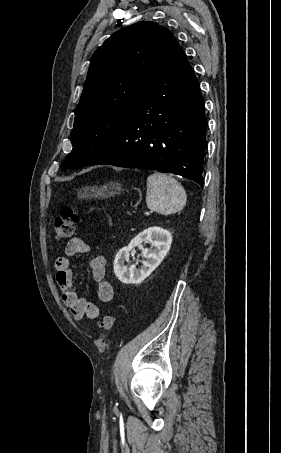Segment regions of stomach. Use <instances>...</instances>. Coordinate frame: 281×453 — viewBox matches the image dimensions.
I'll list each match as a JSON object with an SVG mask.
<instances>
[{
    "label": "stomach",
    "instance_id": "stomach-1",
    "mask_svg": "<svg viewBox=\"0 0 281 453\" xmlns=\"http://www.w3.org/2000/svg\"><path fill=\"white\" fill-rule=\"evenodd\" d=\"M102 190H108L107 194H118V190H120L119 182H109V184H105V186H83L81 188L79 194L80 198H92V196H100V194H106V192H102Z\"/></svg>",
    "mask_w": 281,
    "mask_h": 453
}]
</instances>
